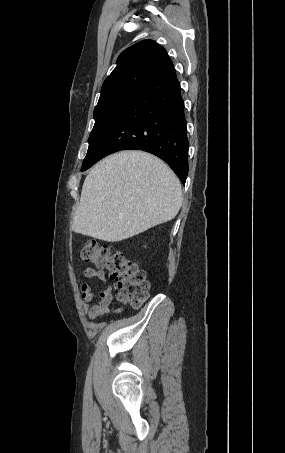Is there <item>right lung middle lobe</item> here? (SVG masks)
I'll list each match as a JSON object with an SVG mask.
<instances>
[{"mask_svg":"<svg viewBox=\"0 0 285 453\" xmlns=\"http://www.w3.org/2000/svg\"><path fill=\"white\" fill-rule=\"evenodd\" d=\"M135 92L126 93L97 105L94 109L95 124L89 136V148L81 171L86 170L101 146L117 116Z\"/></svg>","mask_w":285,"mask_h":453,"instance_id":"right-lung-middle-lobe-1","label":"right lung middle lobe"}]
</instances>
